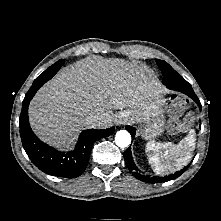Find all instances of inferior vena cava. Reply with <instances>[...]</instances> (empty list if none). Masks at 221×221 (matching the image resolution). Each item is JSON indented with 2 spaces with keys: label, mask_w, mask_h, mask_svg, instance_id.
I'll return each mask as SVG.
<instances>
[{
  "label": "inferior vena cava",
  "mask_w": 221,
  "mask_h": 221,
  "mask_svg": "<svg viewBox=\"0 0 221 221\" xmlns=\"http://www.w3.org/2000/svg\"><path fill=\"white\" fill-rule=\"evenodd\" d=\"M98 116L97 115H90L88 118H87V122L89 124H92V123H95L98 121Z\"/></svg>",
  "instance_id": "obj_1"
}]
</instances>
